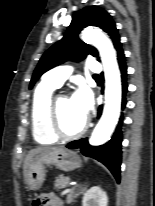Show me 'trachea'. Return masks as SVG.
Here are the masks:
<instances>
[{"label": "trachea", "mask_w": 155, "mask_h": 206, "mask_svg": "<svg viewBox=\"0 0 155 206\" xmlns=\"http://www.w3.org/2000/svg\"><path fill=\"white\" fill-rule=\"evenodd\" d=\"M99 75L98 74H94V77H98Z\"/></svg>", "instance_id": "3493384b"}]
</instances>
